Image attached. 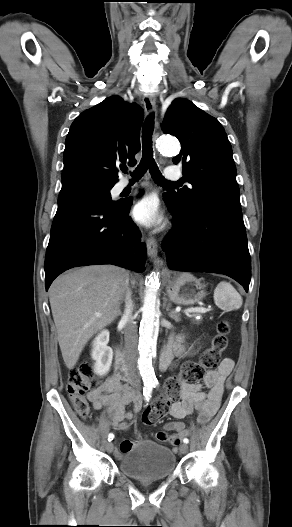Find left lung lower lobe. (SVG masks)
Here are the masks:
<instances>
[{
	"label": "left lung lower lobe",
	"instance_id": "0a47b994",
	"mask_svg": "<svg viewBox=\"0 0 292 527\" xmlns=\"http://www.w3.org/2000/svg\"><path fill=\"white\" fill-rule=\"evenodd\" d=\"M166 205L174 218V229L162 244L169 268L225 274L247 292L251 265L241 209L202 207L182 215Z\"/></svg>",
	"mask_w": 292,
	"mask_h": 527
}]
</instances>
